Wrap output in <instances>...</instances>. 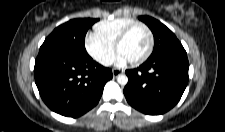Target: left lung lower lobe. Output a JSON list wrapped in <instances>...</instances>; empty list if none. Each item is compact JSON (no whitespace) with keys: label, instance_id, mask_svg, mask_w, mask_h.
I'll return each instance as SVG.
<instances>
[{"label":"left lung lower lobe","instance_id":"obj_1","mask_svg":"<svg viewBox=\"0 0 225 132\" xmlns=\"http://www.w3.org/2000/svg\"><path fill=\"white\" fill-rule=\"evenodd\" d=\"M189 62L185 50L152 59L136 69L127 70L124 88L127 102L138 111L159 115L173 108L188 82Z\"/></svg>","mask_w":225,"mask_h":132}]
</instances>
